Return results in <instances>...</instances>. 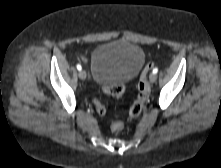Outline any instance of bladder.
<instances>
[{
	"label": "bladder",
	"mask_w": 221,
	"mask_h": 168,
	"mask_svg": "<svg viewBox=\"0 0 221 168\" xmlns=\"http://www.w3.org/2000/svg\"><path fill=\"white\" fill-rule=\"evenodd\" d=\"M145 54L138 45L115 40L98 45L91 54L93 80L100 85L127 82L139 73Z\"/></svg>",
	"instance_id": "31cf9c89"
}]
</instances>
